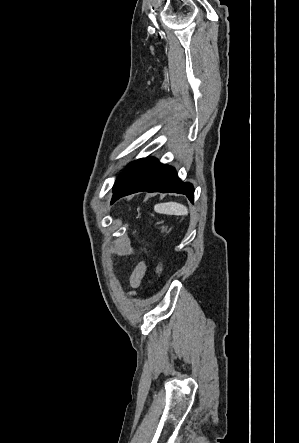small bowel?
Segmentation results:
<instances>
[{
	"instance_id": "c3829d8e",
	"label": "small bowel",
	"mask_w": 299,
	"mask_h": 443,
	"mask_svg": "<svg viewBox=\"0 0 299 443\" xmlns=\"http://www.w3.org/2000/svg\"><path fill=\"white\" fill-rule=\"evenodd\" d=\"M148 274V267L145 261L139 262L129 277V284L132 289H139L143 280Z\"/></svg>"
}]
</instances>
